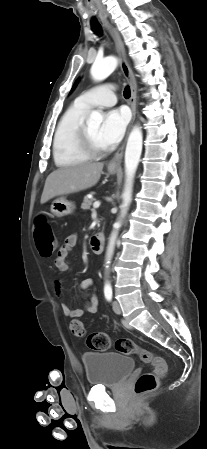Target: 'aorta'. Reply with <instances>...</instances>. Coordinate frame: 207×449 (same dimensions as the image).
Segmentation results:
<instances>
[{
	"label": "aorta",
	"mask_w": 207,
	"mask_h": 449,
	"mask_svg": "<svg viewBox=\"0 0 207 449\" xmlns=\"http://www.w3.org/2000/svg\"><path fill=\"white\" fill-rule=\"evenodd\" d=\"M117 63H118L117 59L113 56L95 61L91 67V75L93 79L96 81H102L106 79L116 69ZM102 120L103 117L101 113L93 111L87 119V124L90 126H99ZM142 144H143V135L141 128L139 126H134L128 137L125 150L126 186L123 194L121 217L124 216L127 207L131 202L133 178L140 161ZM120 226L121 223L120 221H118L115 224L114 231L111 234L107 249V264L110 263V259L114 251L118 229L120 228Z\"/></svg>",
	"instance_id": "1"
}]
</instances>
